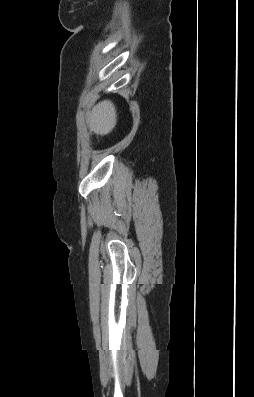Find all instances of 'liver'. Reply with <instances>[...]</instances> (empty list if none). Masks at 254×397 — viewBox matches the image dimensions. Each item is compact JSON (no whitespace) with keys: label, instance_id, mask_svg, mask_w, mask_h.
I'll return each mask as SVG.
<instances>
[{"label":"liver","instance_id":"liver-1","mask_svg":"<svg viewBox=\"0 0 254 397\" xmlns=\"http://www.w3.org/2000/svg\"><path fill=\"white\" fill-rule=\"evenodd\" d=\"M116 122L115 105L110 100H104L92 108L89 129L97 135H107L114 129Z\"/></svg>","mask_w":254,"mask_h":397}]
</instances>
